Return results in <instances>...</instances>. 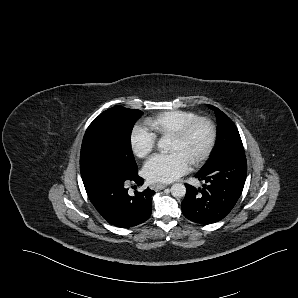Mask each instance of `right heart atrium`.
<instances>
[{
    "label": "right heart atrium",
    "instance_id": "d8ad5b80",
    "mask_svg": "<svg viewBox=\"0 0 298 298\" xmlns=\"http://www.w3.org/2000/svg\"><path fill=\"white\" fill-rule=\"evenodd\" d=\"M157 144L155 134L140 124H136L131 131V145L138 157L147 156Z\"/></svg>",
    "mask_w": 298,
    "mask_h": 298
}]
</instances>
